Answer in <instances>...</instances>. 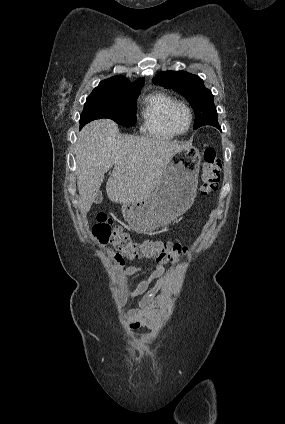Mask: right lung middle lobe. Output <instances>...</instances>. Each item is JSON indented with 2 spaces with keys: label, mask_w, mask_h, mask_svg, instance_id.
Returning a JSON list of instances; mask_svg holds the SVG:
<instances>
[{
  "label": "right lung middle lobe",
  "mask_w": 285,
  "mask_h": 424,
  "mask_svg": "<svg viewBox=\"0 0 285 424\" xmlns=\"http://www.w3.org/2000/svg\"><path fill=\"white\" fill-rule=\"evenodd\" d=\"M140 87L92 91L84 104L80 129L88 122L109 118L125 127L136 123V101Z\"/></svg>",
  "instance_id": "right-lung-middle-lobe-1"
}]
</instances>
